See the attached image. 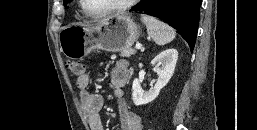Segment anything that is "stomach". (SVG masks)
<instances>
[{"mask_svg": "<svg viewBox=\"0 0 257 130\" xmlns=\"http://www.w3.org/2000/svg\"><path fill=\"white\" fill-rule=\"evenodd\" d=\"M142 34L128 14L104 18L96 25L73 24L59 33L61 52L70 59H82L95 50L117 52L130 48Z\"/></svg>", "mask_w": 257, "mask_h": 130, "instance_id": "obj_1", "label": "stomach"}]
</instances>
